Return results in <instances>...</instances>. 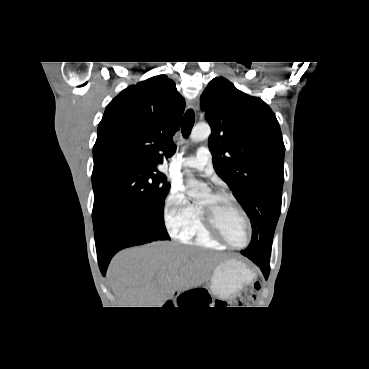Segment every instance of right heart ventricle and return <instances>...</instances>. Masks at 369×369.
Instances as JSON below:
<instances>
[{"label": "right heart ventricle", "mask_w": 369, "mask_h": 369, "mask_svg": "<svg viewBox=\"0 0 369 369\" xmlns=\"http://www.w3.org/2000/svg\"><path fill=\"white\" fill-rule=\"evenodd\" d=\"M179 238L183 241L192 242L195 245L222 249L224 245L215 240L205 229L199 207H196V213L186 233L181 234Z\"/></svg>", "instance_id": "1"}]
</instances>
